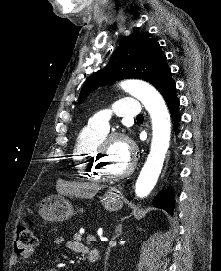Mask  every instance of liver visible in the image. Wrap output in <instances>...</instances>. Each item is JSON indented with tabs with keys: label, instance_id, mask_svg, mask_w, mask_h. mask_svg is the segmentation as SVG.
I'll use <instances>...</instances> for the list:
<instances>
[{
	"label": "liver",
	"instance_id": "liver-1",
	"mask_svg": "<svg viewBox=\"0 0 221 271\" xmlns=\"http://www.w3.org/2000/svg\"><path fill=\"white\" fill-rule=\"evenodd\" d=\"M71 195H78V197H88V195H93L95 189H101L100 185L94 187L90 183H75V185H69ZM93 191V193H92Z\"/></svg>",
	"mask_w": 221,
	"mask_h": 271
}]
</instances>
